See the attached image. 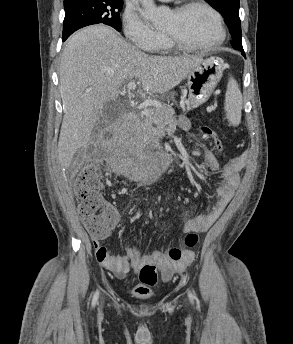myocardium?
I'll return each mask as SVG.
<instances>
[{"instance_id":"obj_1","label":"myocardium","mask_w":293,"mask_h":344,"mask_svg":"<svg viewBox=\"0 0 293 344\" xmlns=\"http://www.w3.org/2000/svg\"><path fill=\"white\" fill-rule=\"evenodd\" d=\"M195 7H200L207 10L214 18L217 26L218 35L217 37L210 43L203 44V45H193L190 44L183 39L179 38L178 36L163 32L165 38L168 42L177 49L187 51V52H205L210 51L218 46H220L224 40L226 39V28L224 24V20L220 12L213 7L211 4L205 2L204 0H189L177 7H175L172 12L175 14H182L187 10Z\"/></svg>"}]
</instances>
